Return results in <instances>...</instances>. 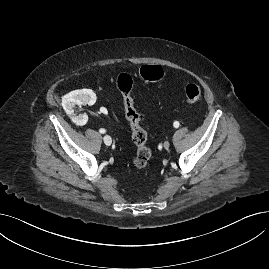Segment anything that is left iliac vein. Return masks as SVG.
Instances as JSON below:
<instances>
[{
    "instance_id": "left-iliac-vein-1",
    "label": "left iliac vein",
    "mask_w": 269,
    "mask_h": 269,
    "mask_svg": "<svg viewBox=\"0 0 269 269\" xmlns=\"http://www.w3.org/2000/svg\"><path fill=\"white\" fill-rule=\"evenodd\" d=\"M163 147H164L165 149H168V148L170 147V143H169V141H165V142L163 143Z\"/></svg>"
}]
</instances>
